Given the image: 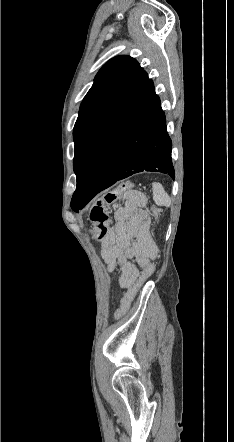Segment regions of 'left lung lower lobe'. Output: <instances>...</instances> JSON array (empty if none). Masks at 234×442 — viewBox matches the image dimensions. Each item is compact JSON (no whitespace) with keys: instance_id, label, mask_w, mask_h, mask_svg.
I'll list each match as a JSON object with an SVG mask.
<instances>
[{"instance_id":"1","label":"left lung lower lobe","mask_w":234,"mask_h":442,"mask_svg":"<svg viewBox=\"0 0 234 442\" xmlns=\"http://www.w3.org/2000/svg\"><path fill=\"white\" fill-rule=\"evenodd\" d=\"M171 149L160 99L143 71L90 138L71 208L78 212L100 191L143 170L174 179Z\"/></svg>"}]
</instances>
